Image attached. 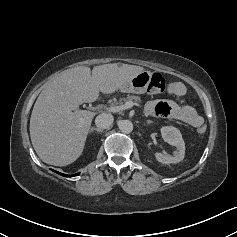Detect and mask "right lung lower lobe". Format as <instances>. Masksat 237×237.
Returning a JSON list of instances; mask_svg holds the SVG:
<instances>
[{
	"instance_id": "right-lung-lower-lobe-1",
	"label": "right lung lower lobe",
	"mask_w": 237,
	"mask_h": 237,
	"mask_svg": "<svg viewBox=\"0 0 237 237\" xmlns=\"http://www.w3.org/2000/svg\"><path fill=\"white\" fill-rule=\"evenodd\" d=\"M55 172L58 173V174H60V175H62V176H65V177L76 176V175L79 174V173H77V174H75V175H66V174H63V173H60V172H57V171H55Z\"/></svg>"
}]
</instances>
